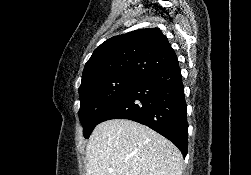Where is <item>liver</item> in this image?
Listing matches in <instances>:
<instances>
[{
    "instance_id": "liver-1",
    "label": "liver",
    "mask_w": 251,
    "mask_h": 175,
    "mask_svg": "<svg viewBox=\"0 0 251 175\" xmlns=\"http://www.w3.org/2000/svg\"><path fill=\"white\" fill-rule=\"evenodd\" d=\"M86 159V175H182L183 169V155L172 141L131 119L96 125Z\"/></svg>"
}]
</instances>
